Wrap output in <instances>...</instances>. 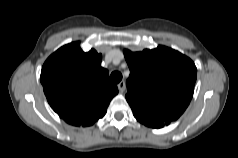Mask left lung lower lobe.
<instances>
[{
	"mask_svg": "<svg viewBox=\"0 0 238 158\" xmlns=\"http://www.w3.org/2000/svg\"><path fill=\"white\" fill-rule=\"evenodd\" d=\"M139 122L142 124H145L146 126L152 127V128H161L165 125L170 124L172 121L166 120V121H152L145 118L135 117Z\"/></svg>",
	"mask_w": 238,
	"mask_h": 158,
	"instance_id": "1",
	"label": "left lung lower lobe"
}]
</instances>
